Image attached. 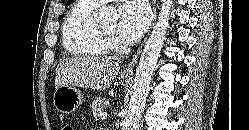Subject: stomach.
<instances>
[{"label":"stomach","instance_id":"obj_1","mask_svg":"<svg viewBox=\"0 0 249 130\" xmlns=\"http://www.w3.org/2000/svg\"><path fill=\"white\" fill-rule=\"evenodd\" d=\"M127 78H121V83L127 82ZM82 92L75 86H61L56 88L53 96L55 108L63 114H71L84 102Z\"/></svg>","mask_w":249,"mask_h":130}]
</instances>
